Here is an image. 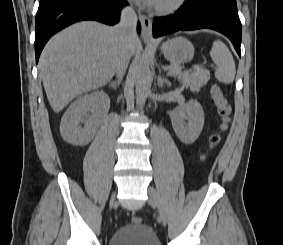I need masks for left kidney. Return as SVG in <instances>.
Masks as SVG:
<instances>
[{
  "label": "left kidney",
  "mask_w": 283,
  "mask_h": 245,
  "mask_svg": "<svg viewBox=\"0 0 283 245\" xmlns=\"http://www.w3.org/2000/svg\"><path fill=\"white\" fill-rule=\"evenodd\" d=\"M173 129L184 144H192L204 126V112L196 100L191 99L175 108L170 115Z\"/></svg>",
  "instance_id": "left-kidney-1"
}]
</instances>
